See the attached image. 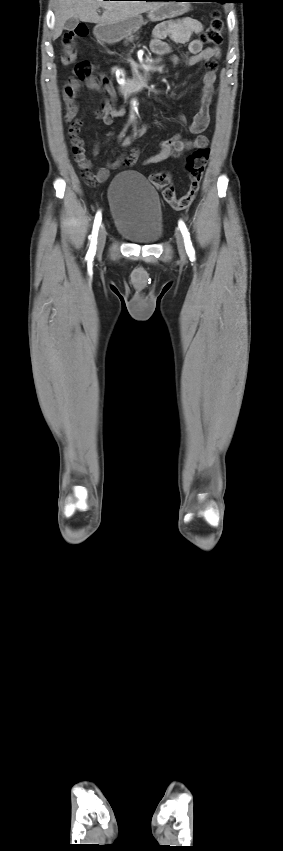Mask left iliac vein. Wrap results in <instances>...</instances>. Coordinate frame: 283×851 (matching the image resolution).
Masks as SVG:
<instances>
[{
  "mask_svg": "<svg viewBox=\"0 0 283 851\" xmlns=\"http://www.w3.org/2000/svg\"><path fill=\"white\" fill-rule=\"evenodd\" d=\"M175 237H176V243H177V248H178L179 254L182 257H185L186 250H185V242H184V238H183L182 233L179 230H176Z\"/></svg>",
  "mask_w": 283,
  "mask_h": 851,
  "instance_id": "1",
  "label": "left iliac vein"
}]
</instances>
